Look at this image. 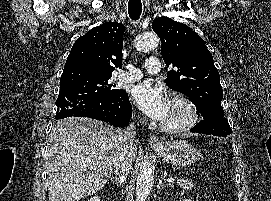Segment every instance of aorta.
<instances>
[{
	"instance_id": "1",
	"label": "aorta",
	"mask_w": 271,
	"mask_h": 201,
	"mask_svg": "<svg viewBox=\"0 0 271 201\" xmlns=\"http://www.w3.org/2000/svg\"><path fill=\"white\" fill-rule=\"evenodd\" d=\"M159 38L154 33H144L135 40L138 51H149L157 48ZM153 183V169L149 161L141 163L136 182V201H146Z\"/></svg>"
}]
</instances>
